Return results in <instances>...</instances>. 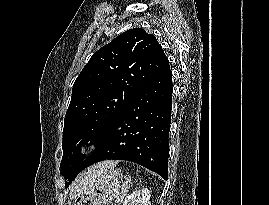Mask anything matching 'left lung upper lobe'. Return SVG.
<instances>
[{"instance_id": "left-lung-upper-lobe-1", "label": "left lung upper lobe", "mask_w": 269, "mask_h": 205, "mask_svg": "<svg viewBox=\"0 0 269 205\" xmlns=\"http://www.w3.org/2000/svg\"><path fill=\"white\" fill-rule=\"evenodd\" d=\"M167 62L156 37L142 28L120 34L90 58L73 85L64 119L61 174L65 187L85 158L81 145L96 144Z\"/></svg>"}]
</instances>
